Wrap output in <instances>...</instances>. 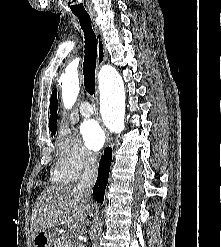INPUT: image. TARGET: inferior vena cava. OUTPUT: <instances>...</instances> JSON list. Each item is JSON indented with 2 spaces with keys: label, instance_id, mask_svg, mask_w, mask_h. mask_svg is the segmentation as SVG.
Segmentation results:
<instances>
[{
  "label": "inferior vena cava",
  "instance_id": "inferior-vena-cava-1",
  "mask_svg": "<svg viewBox=\"0 0 221 247\" xmlns=\"http://www.w3.org/2000/svg\"><path fill=\"white\" fill-rule=\"evenodd\" d=\"M96 179H97V156L92 152H88L86 154L84 172L76 187L78 193L83 198L87 200L90 199L91 190L93 185L95 184ZM77 247H83V246L77 245Z\"/></svg>",
  "mask_w": 221,
  "mask_h": 247
}]
</instances>
